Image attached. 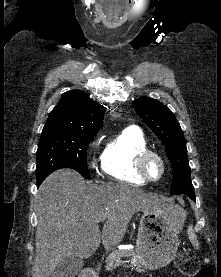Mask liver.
<instances>
[{
    "mask_svg": "<svg viewBox=\"0 0 221 277\" xmlns=\"http://www.w3.org/2000/svg\"><path fill=\"white\" fill-rule=\"evenodd\" d=\"M37 199L36 257L32 277H49L69 257L89 258L101 239L107 251L123 239L133 215L165 209L157 196L123 184L86 183L79 173L62 169L40 185ZM105 218L101 231L98 221Z\"/></svg>",
    "mask_w": 221,
    "mask_h": 277,
    "instance_id": "6515ba94",
    "label": "liver"
}]
</instances>
